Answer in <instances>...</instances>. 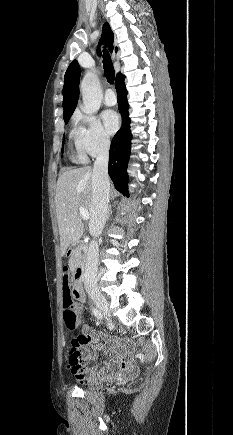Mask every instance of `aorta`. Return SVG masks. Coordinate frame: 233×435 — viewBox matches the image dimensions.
Returning <instances> with one entry per match:
<instances>
[{
    "mask_svg": "<svg viewBox=\"0 0 233 435\" xmlns=\"http://www.w3.org/2000/svg\"><path fill=\"white\" fill-rule=\"evenodd\" d=\"M80 89L83 99L82 111L86 114L97 112L103 97L98 76L88 71L81 82Z\"/></svg>",
    "mask_w": 233,
    "mask_h": 435,
    "instance_id": "762f6f07",
    "label": "aorta"
}]
</instances>
